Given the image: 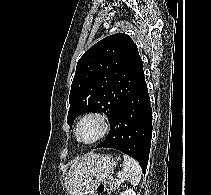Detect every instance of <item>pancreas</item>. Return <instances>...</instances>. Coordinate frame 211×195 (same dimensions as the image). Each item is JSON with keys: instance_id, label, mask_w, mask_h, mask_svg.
I'll use <instances>...</instances> for the list:
<instances>
[{"instance_id": "pancreas-1", "label": "pancreas", "mask_w": 211, "mask_h": 195, "mask_svg": "<svg viewBox=\"0 0 211 195\" xmlns=\"http://www.w3.org/2000/svg\"><path fill=\"white\" fill-rule=\"evenodd\" d=\"M106 184L109 185L110 191H114L120 187L121 183L119 181H116V182H107Z\"/></svg>"}]
</instances>
